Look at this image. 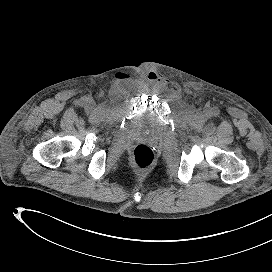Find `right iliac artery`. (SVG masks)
Masks as SVG:
<instances>
[{
  "instance_id": "obj_1",
  "label": "right iliac artery",
  "mask_w": 272,
  "mask_h": 272,
  "mask_svg": "<svg viewBox=\"0 0 272 272\" xmlns=\"http://www.w3.org/2000/svg\"><path fill=\"white\" fill-rule=\"evenodd\" d=\"M84 102H85V99H82V100H81V103L83 104Z\"/></svg>"
}]
</instances>
